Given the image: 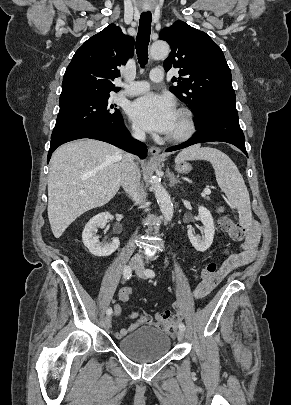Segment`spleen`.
Masks as SVG:
<instances>
[{"label":"spleen","mask_w":291,"mask_h":405,"mask_svg":"<svg viewBox=\"0 0 291 405\" xmlns=\"http://www.w3.org/2000/svg\"><path fill=\"white\" fill-rule=\"evenodd\" d=\"M185 160H207L214 170L216 181L228 198L229 204L236 208L241 224L252 218L250 197L244 179L234 162L218 149L199 145L181 151L175 158L176 163Z\"/></svg>","instance_id":"spleen-1"}]
</instances>
